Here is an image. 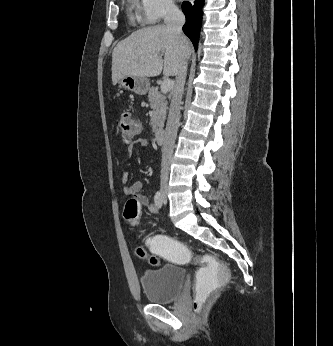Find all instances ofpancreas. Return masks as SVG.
I'll return each instance as SVG.
<instances>
[{"label":"pancreas","mask_w":333,"mask_h":346,"mask_svg":"<svg viewBox=\"0 0 333 346\" xmlns=\"http://www.w3.org/2000/svg\"><path fill=\"white\" fill-rule=\"evenodd\" d=\"M148 100L152 112L150 113V124L154 133L159 132L163 126L166 119V114L168 110V102L165 95H162L157 87H152L149 90Z\"/></svg>","instance_id":"pancreas-1"}]
</instances>
